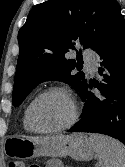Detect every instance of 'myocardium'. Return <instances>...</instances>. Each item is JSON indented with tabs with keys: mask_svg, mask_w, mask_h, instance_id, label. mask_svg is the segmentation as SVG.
Returning a JSON list of instances; mask_svg holds the SVG:
<instances>
[{
	"mask_svg": "<svg viewBox=\"0 0 125 167\" xmlns=\"http://www.w3.org/2000/svg\"><path fill=\"white\" fill-rule=\"evenodd\" d=\"M54 93H57V94L64 96L66 98V100L68 101L70 108H71V115H70L69 119L64 124H62L58 127H55V128H51V129L35 128L31 122V113H32V109H33L34 105L41 98H43L49 94H54ZM26 118H27L30 130H32L33 132L40 133V134L57 133V132H61V131L68 129L75 124V122L78 118V106H77V103L75 101L73 94L71 93V91L68 88L63 87V86H51V87L43 90L42 92H40L38 95H36L32 99V101L29 103V105L27 107Z\"/></svg>",
	"mask_w": 125,
	"mask_h": 167,
	"instance_id": "f54148a6",
	"label": "myocardium"
}]
</instances>
